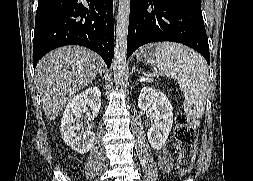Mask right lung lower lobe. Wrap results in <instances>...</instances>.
I'll list each match as a JSON object with an SVG mask.
<instances>
[{
	"mask_svg": "<svg viewBox=\"0 0 253 181\" xmlns=\"http://www.w3.org/2000/svg\"><path fill=\"white\" fill-rule=\"evenodd\" d=\"M72 44L97 52L110 67L114 52L112 0H38L33 67L47 52Z\"/></svg>",
	"mask_w": 253,
	"mask_h": 181,
	"instance_id": "obj_1",
	"label": "right lung lower lobe"
}]
</instances>
